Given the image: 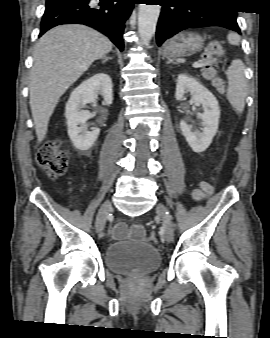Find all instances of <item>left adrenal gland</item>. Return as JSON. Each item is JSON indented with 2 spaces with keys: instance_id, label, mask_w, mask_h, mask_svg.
<instances>
[{
  "instance_id": "left-adrenal-gland-1",
  "label": "left adrenal gland",
  "mask_w": 270,
  "mask_h": 338,
  "mask_svg": "<svg viewBox=\"0 0 270 338\" xmlns=\"http://www.w3.org/2000/svg\"><path fill=\"white\" fill-rule=\"evenodd\" d=\"M167 64H170V63H176V62H174L172 59H168V61L166 62Z\"/></svg>"
}]
</instances>
